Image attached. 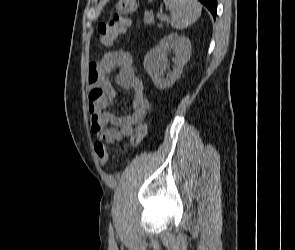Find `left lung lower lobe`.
Returning <instances> with one entry per match:
<instances>
[{"mask_svg": "<svg viewBox=\"0 0 295 250\" xmlns=\"http://www.w3.org/2000/svg\"><path fill=\"white\" fill-rule=\"evenodd\" d=\"M199 1L209 9L213 17L215 18L216 9H217V0H199Z\"/></svg>", "mask_w": 295, "mask_h": 250, "instance_id": "left-lung-lower-lobe-1", "label": "left lung lower lobe"}]
</instances>
